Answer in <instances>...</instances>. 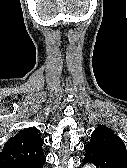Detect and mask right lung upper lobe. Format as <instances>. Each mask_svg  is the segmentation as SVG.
I'll return each mask as SVG.
<instances>
[{"label": "right lung upper lobe", "instance_id": "obj_1", "mask_svg": "<svg viewBox=\"0 0 127 168\" xmlns=\"http://www.w3.org/2000/svg\"><path fill=\"white\" fill-rule=\"evenodd\" d=\"M43 144L36 128L24 129L5 143L0 153V163L41 160L45 158L42 152Z\"/></svg>", "mask_w": 127, "mask_h": 168}]
</instances>
